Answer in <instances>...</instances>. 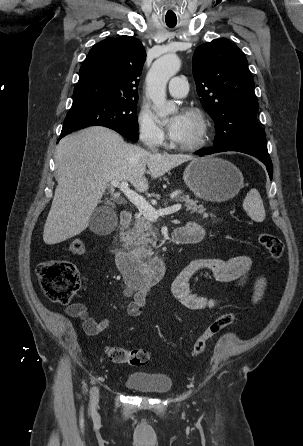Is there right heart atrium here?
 Listing matches in <instances>:
<instances>
[{
  "mask_svg": "<svg viewBox=\"0 0 303 446\" xmlns=\"http://www.w3.org/2000/svg\"><path fill=\"white\" fill-rule=\"evenodd\" d=\"M138 133L141 141L149 147H159L165 142V133L154 115L142 109L137 117Z\"/></svg>",
  "mask_w": 303,
  "mask_h": 446,
  "instance_id": "right-heart-atrium-1",
  "label": "right heart atrium"
}]
</instances>
